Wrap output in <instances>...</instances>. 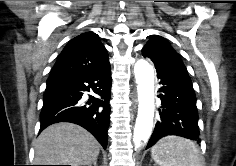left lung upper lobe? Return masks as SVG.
<instances>
[{
  "mask_svg": "<svg viewBox=\"0 0 236 166\" xmlns=\"http://www.w3.org/2000/svg\"><path fill=\"white\" fill-rule=\"evenodd\" d=\"M144 57H148L155 64V68L174 63H182L178 53L170 43L161 36L152 35L151 39L142 49Z\"/></svg>",
  "mask_w": 236,
  "mask_h": 166,
  "instance_id": "1",
  "label": "left lung upper lobe"
}]
</instances>
